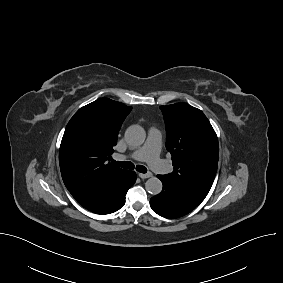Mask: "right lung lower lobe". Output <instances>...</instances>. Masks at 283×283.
<instances>
[{
    "label": "right lung lower lobe",
    "instance_id": "98d812e1",
    "mask_svg": "<svg viewBox=\"0 0 283 283\" xmlns=\"http://www.w3.org/2000/svg\"><path fill=\"white\" fill-rule=\"evenodd\" d=\"M136 181V173L127 171L121 181L115 182L96 201L89 206H83L97 214H109L119 210L125 204V195Z\"/></svg>",
    "mask_w": 283,
    "mask_h": 283
}]
</instances>
